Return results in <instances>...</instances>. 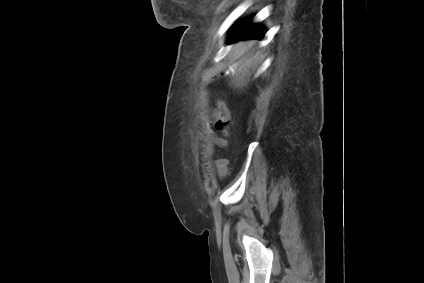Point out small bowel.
Segmentation results:
<instances>
[{"mask_svg":"<svg viewBox=\"0 0 424 283\" xmlns=\"http://www.w3.org/2000/svg\"><path fill=\"white\" fill-rule=\"evenodd\" d=\"M218 175L223 178L229 173L228 161L226 159H218L215 162Z\"/></svg>","mask_w":424,"mask_h":283,"instance_id":"obj_1","label":"small bowel"}]
</instances>
